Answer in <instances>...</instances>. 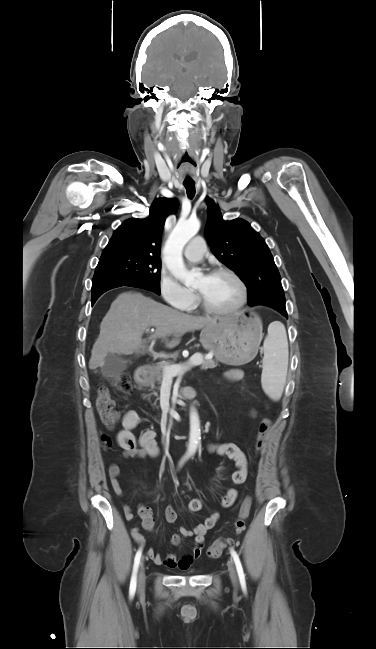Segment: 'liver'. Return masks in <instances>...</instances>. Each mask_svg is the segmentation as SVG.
Here are the masks:
<instances>
[{
  "instance_id": "liver-1",
  "label": "liver",
  "mask_w": 376,
  "mask_h": 649,
  "mask_svg": "<svg viewBox=\"0 0 376 649\" xmlns=\"http://www.w3.org/2000/svg\"><path fill=\"white\" fill-rule=\"evenodd\" d=\"M217 320L181 313L141 293H122L113 301L101 322L99 336L91 351L89 368L94 370L102 367L108 353H143L146 340H142V336L150 327H155V332L149 339L154 341L172 334L180 337L186 332L216 323ZM178 344L179 340H173L166 346L173 348Z\"/></svg>"
}]
</instances>
